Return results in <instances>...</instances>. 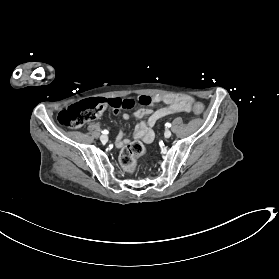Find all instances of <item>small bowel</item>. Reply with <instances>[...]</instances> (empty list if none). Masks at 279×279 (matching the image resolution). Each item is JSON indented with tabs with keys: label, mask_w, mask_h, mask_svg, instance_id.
<instances>
[{
	"label": "small bowel",
	"mask_w": 279,
	"mask_h": 279,
	"mask_svg": "<svg viewBox=\"0 0 279 279\" xmlns=\"http://www.w3.org/2000/svg\"><path fill=\"white\" fill-rule=\"evenodd\" d=\"M154 102H164L167 106L159 108L152 111L147 108H140L135 112V117L142 119L144 116L148 115L147 122L140 121L134 129L133 138L142 140L146 143H151L154 140V132L152 127L163 117L171 114L189 112L191 105L193 103L190 97H172L156 95L154 96ZM123 118L125 120L129 119L130 115L124 113ZM129 143V139L124 131H120L115 139L114 145L116 148H122Z\"/></svg>",
	"instance_id": "1"
}]
</instances>
